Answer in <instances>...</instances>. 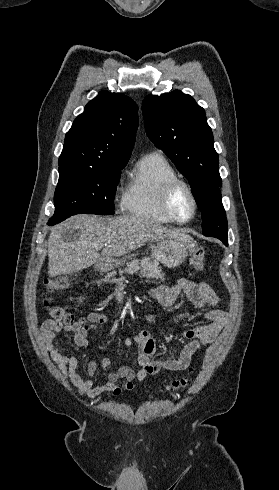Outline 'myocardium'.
<instances>
[{"label": "myocardium", "instance_id": "myocardium-1", "mask_svg": "<svg viewBox=\"0 0 279 490\" xmlns=\"http://www.w3.org/2000/svg\"><path fill=\"white\" fill-rule=\"evenodd\" d=\"M181 189L187 191L193 206L191 215L185 220L180 219L175 210V199ZM163 208L166 214L178 224H187L192 221L198 210V202L192 184L180 177L169 181L163 195Z\"/></svg>", "mask_w": 279, "mask_h": 490}]
</instances>
